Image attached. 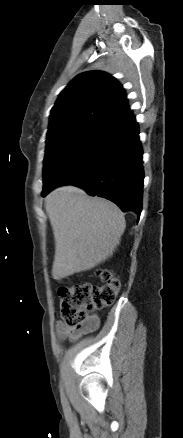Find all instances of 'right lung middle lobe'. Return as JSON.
Masks as SVG:
<instances>
[{"instance_id":"obj_1","label":"right lung middle lobe","mask_w":183,"mask_h":438,"mask_svg":"<svg viewBox=\"0 0 183 438\" xmlns=\"http://www.w3.org/2000/svg\"><path fill=\"white\" fill-rule=\"evenodd\" d=\"M98 128L77 126L57 130L47 134L44 157L43 187L71 161V159L91 139Z\"/></svg>"}]
</instances>
